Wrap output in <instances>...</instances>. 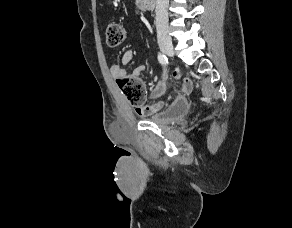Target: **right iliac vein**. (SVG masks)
<instances>
[{
	"label": "right iliac vein",
	"mask_w": 292,
	"mask_h": 228,
	"mask_svg": "<svg viewBox=\"0 0 292 228\" xmlns=\"http://www.w3.org/2000/svg\"><path fill=\"white\" fill-rule=\"evenodd\" d=\"M159 46H160L161 51L167 54L168 56L174 55V48L171 42L162 41L160 42Z\"/></svg>",
	"instance_id": "1"
}]
</instances>
